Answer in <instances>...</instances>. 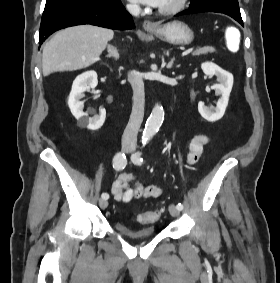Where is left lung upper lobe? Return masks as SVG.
<instances>
[{"label":"left lung upper lobe","instance_id":"5c2ea615","mask_svg":"<svg viewBox=\"0 0 280 283\" xmlns=\"http://www.w3.org/2000/svg\"><path fill=\"white\" fill-rule=\"evenodd\" d=\"M190 7L211 8L241 18L238 0H191Z\"/></svg>","mask_w":280,"mask_h":283}]
</instances>
